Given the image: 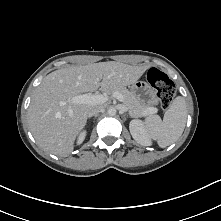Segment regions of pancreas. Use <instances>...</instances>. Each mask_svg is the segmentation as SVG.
<instances>
[{"instance_id":"obj_1","label":"pancreas","mask_w":221,"mask_h":221,"mask_svg":"<svg viewBox=\"0 0 221 221\" xmlns=\"http://www.w3.org/2000/svg\"><path fill=\"white\" fill-rule=\"evenodd\" d=\"M106 92L107 94H113L114 92L120 93L124 97L123 103L127 107L129 114L132 117H139L142 115H146L144 114L145 111H147L150 108L149 106L142 104L134 94H132L124 87H113L108 89Z\"/></svg>"}]
</instances>
